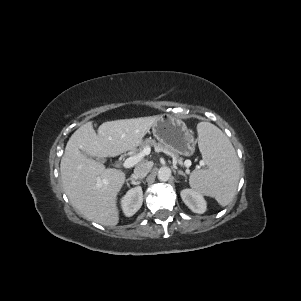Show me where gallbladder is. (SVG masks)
Segmentation results:
<instances>
[{
  "mask_svg": "<svg viewBox=\"0 0 301 301\" xmlns=\"http://www.w3.org/2000/svg\"><path fill=\"white\" fill-rule=\"evenodd\" d=\"M83 154L87 156V154H86V153H83ZM96 160H97L98 162H101V163H103V162H104V160H103L102 158H96Z\"/></svg>",
  "mask_w": 301,
  "mask_h": 301,
  "instance_id": "gallbladder-1",
  "label": "gallbladder"
}]
</instances>
